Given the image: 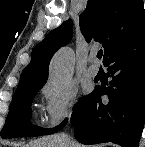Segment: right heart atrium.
<instances>
[{
  "label": "right heart atrium",
  "mask_w": 145,
  "mask_h": 147,
  "mask_svg": "<svg viewBox=\"0 0 145 147\" xmlns=\"http://www.w3.org/2000/svg\"><path fill=\"white\" fill-rule=\"evenodd\" d=\"M45 101L44 124L55 128L71 118L77 98V90L73 85L58 86L46 83L41 89Z\"/></svg>",
  "instance_id": "1"
}]
</instances>
